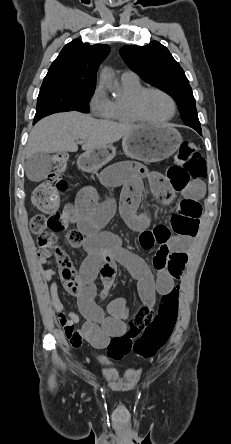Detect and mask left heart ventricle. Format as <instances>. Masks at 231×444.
<instances>
[{"label": "left heart ventricle", "mask_w": 231, "mask_h": 444, "mask_svg": "<svg viewBox=\"0 0 231 444\" xmlns=\"http://www.w3.org/2000/svg\"><path fill=\"white\" fill-rule=\"evenodd\" d=\"M142 111L150 119L161 120L170 116V101L160 93L150 92L142 100Z\"/></svg>", "instance_id": "obj_1"}]
</instances>
